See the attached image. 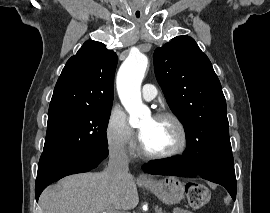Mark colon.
Instances as JSON below:
<instances>
[{"label": "colon", "mask_w": 270, "mask_h": 213, "mask_svg": "<svg viewBox=\"0 0 270 213\" xmlns=\"http://www.w3.org/2000/svg\"><path fill=\"white\" fill-rule=\"evenodd\" d=\"M185 194L189 204L194 208L206 205L211 196L209 189L198 182H188L185 185Z\"/></svg>", "instance_id": "obj_1"}]
</instances>
